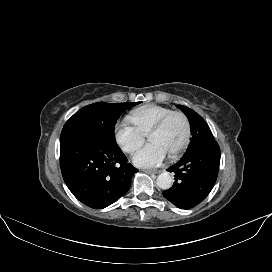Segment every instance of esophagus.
Masks as SVG:
<instances>
[{"mask_svg":"<svg viewBox=\"0 0 272 272\" xmlns=\"http://www.w3.org/2000/svg\"><path fill=\"white\" fill-rule=\"evenodd\" d=\"M147 174H159L162 170H143Z\"/></svg>","mask_w":272,"mask_h":272,"instance_id":"obj_1","label":"esophagus"}]
</instances>
